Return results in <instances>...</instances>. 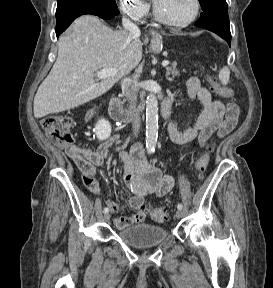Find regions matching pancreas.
Returning a JSON list of instances; mask_svg holds the SVG:
<instances>
[{
    "instance_id": "pancreas-1",
    "label": "pancreas",
    "mask_w": 273,
    "mask_h": 288,
    "mask_svg": "<svg viewBox=\"0 0 273 288\" xmlns=\"http://www.w3.org/2000/svg\"><path fill=\"white\" fill-rule=\"evenodd\" d=\"M169 75H172V77H168ZM166 76L172 81L174 77L180 76V71L176 69V65L169 66L166 68Z\"/></svg>"
}]
</instances>
